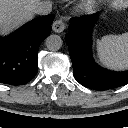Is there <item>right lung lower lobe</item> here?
Returning <instances> with one entry per match:
<instances>
[{
  "mask_svg": "<svg viewBox=\"0 0 128 128\" xmlns=\"http://www.w3.org/2000/svg\"><path fill=\"white\" fill-rule=\"evenodd\" d=\"M54 17L36 18L10 36L0 37V83L23 85L35 77L38 48L50 34Z\"/></svg>",
  "mask_w": 128,
  "mask_h": 128,
  "instance_id": "right-lung-lower-lobe-1",
  "label": "right lung lower lobe"
}]
</instances>
